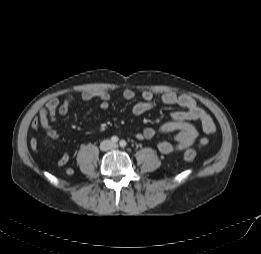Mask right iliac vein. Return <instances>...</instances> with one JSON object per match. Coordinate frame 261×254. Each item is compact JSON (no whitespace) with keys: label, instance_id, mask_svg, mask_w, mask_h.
I'll list each match as a JSON object with an SVG mask.
<instances>
[{"label":"right iliac vein","instance_id":"obj_1","mask_svg":"<svg viewBox=\"0 0 261 254\" xmlns=\"http://www.w3.org/2000/svg\"><path fill=\"white\" fill-rule=\"evenodd\" d=\"M109 147H110V143L108 141L103 142L101 145V148L103 150H107V149H109Z\"/></svg>","mask_w":261,"mask_h":254}]
</instances>
